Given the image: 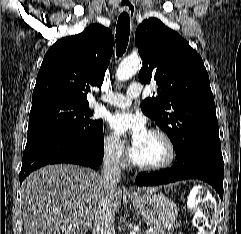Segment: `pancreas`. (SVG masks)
I'll use <instances>...</instances> for the list:
<instances>
[{
    "label": "pancreas",
    "instance_id": "obj_1",
    "mask_svg": "<svg viewBox=\"0 0 241 234\" xmlns=\"http://www.w3.org/2000/svg\"><path fill=\"white\" fill-rule=\"evenodd\" d=\"M148 234H174V233L166 232L163 229L153 228V232L152 233H148Z\"/></svg>",
    "mask_w": 241,
    "mask_h": 234
}]
</instances>
